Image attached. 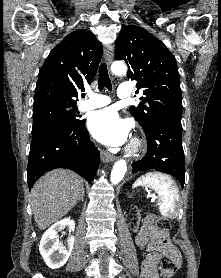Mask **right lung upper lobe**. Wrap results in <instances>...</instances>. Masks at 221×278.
Returning a JSON list of instances; mask_svg holds the SVG:
<instances>
[{"mask_svg":"<svg viewBox=\"0 0 221 278\" xmlns=\"http://www.w3.org/2000/svg\"><path fill=\"white\" fill-rule=\"evenodd\" d=\"M103 46L92 32L76 30L54 47L41 67L34 105L57 101L75 103L83 83H91Z\"/></svg>","mask_w":221,"mask_h":278,"instance_id":"obj_1","label":"right lung upper lobe"}]
</instances>
